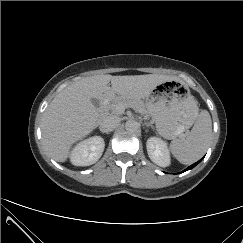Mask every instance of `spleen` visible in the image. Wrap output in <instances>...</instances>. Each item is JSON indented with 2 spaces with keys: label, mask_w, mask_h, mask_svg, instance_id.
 <instances>
[{
  "label": "spleen",
  "mask_w": 243,
  "mask_h": 243,
  "mask_svg": "<svg viewBox=\"0 0 243 243\" xmlns=\"http://www.w3.org/2000/svg\"><path fill=\"white\" fill-rule=\"evenodd\" d=\"M212 135V121L208 111L197 113L195 124L186 138L174 139L170 144L173 156L182 164L198 161L206 153Z\"/></svg>",
  "instance_id": "1"
}]
</instances>
